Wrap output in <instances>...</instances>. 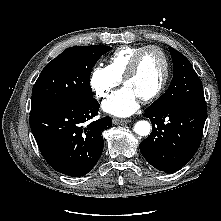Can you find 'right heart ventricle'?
I'll return each instance as SVG.
<instances>
[{"label":"right heart ventricle","instance_id":"1","mask_svg":"<svg viewBox=\"0 0 221 221\" xmlns=\"http://www.w3.org/2000/svg\"><path fill=\"white\" fill-rule=\"evenodd\" d=\"M146 46H123L118 48L108 60V70L118 79H122L134 55Z\"/></svg>","mask_w":221,"mask_h":221}]
</instances>
